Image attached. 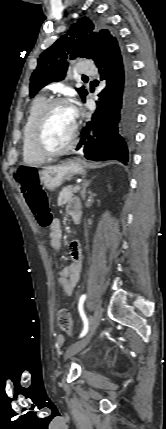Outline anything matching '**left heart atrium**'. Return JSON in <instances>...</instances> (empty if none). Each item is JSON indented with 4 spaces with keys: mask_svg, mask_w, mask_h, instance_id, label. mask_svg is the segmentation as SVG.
<instances>
[{
    "mask_svg": "<svg viewBox=\"0 0 166 429\" xmlns=\"http://www.w3.org/2000/svg\"><path fill=\"white\" fill-rule=\"evenodd\" d=\"M72 111H73V114L75 115V110H74V109H72Z\"/></svg>",
    "mask_w": 166,
    "mask_h": 429,
    "instance_id": "1",
    "label": "left heart atrium"
}]
</instances>
